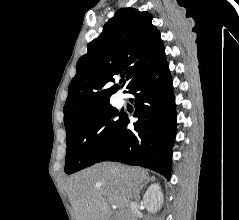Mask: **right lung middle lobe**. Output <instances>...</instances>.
Instances as JSON below:
<instances>
[{
  "mask_svg": "<svg viewBox=\"0 0 239 220\" xmlns=\"http://www.w3.org/2000/svg\"><path fill=\"white\" fill-rule=\"evenodd\" d=\"M117 116L119 119L115 120ZM122 118L114 107L107 105L75 121L66 130L65 172L71 174L95 164L114 138Z\"/></svg>",
  "mask_w": 239,
  "mask_h": 220,
  "instance_id": "right-lung-middle-lobe-1",
  "label": "right lung middle lobe"
}]
</instances>
